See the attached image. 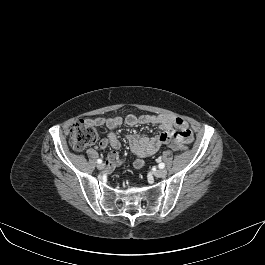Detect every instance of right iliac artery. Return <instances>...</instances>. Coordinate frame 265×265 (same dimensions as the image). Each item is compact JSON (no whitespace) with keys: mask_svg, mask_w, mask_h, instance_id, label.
Returning <instances> with one entry per match:
<instances>
[{"mask_svg":"<svg viewBox=\"0 0 265 265\" xmlns=\"http://www.w3.org/2000/svg\"><path fill=\"white\" fill-rule=\"evenodd\" d=\"M97 163H98V164H101V163H102V160H101V159H98V160H97Z\"/></svg>","mask_w":265,"mask_h":265,"instance_id":"right-iliac-artery-1","label":"right iliac artery"}]
</instances>
